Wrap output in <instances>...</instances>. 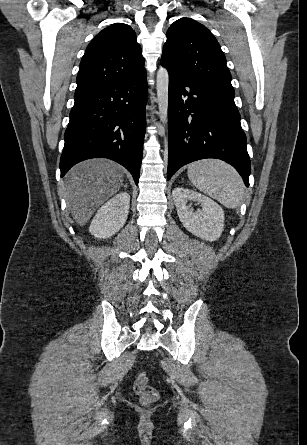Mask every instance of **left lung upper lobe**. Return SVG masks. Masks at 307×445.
Segmentation results:
<instances>
[{"label": "left lung upper lobe", "mask_w": 307, "mask_h": 445, "mask_svg": "<svg viewBox=\"0 0 307 445\" xmlns=\"http://www.w3.org/2000/svg\"><path fill=\"white\" fill-rule=\"evenodd\" d=\"M161 64L204 90L234 98L224 53L213 34L195 20L180 18L169 27Z\"/></svg>", "instance_id": "5c2ea615"}]
</instances>
